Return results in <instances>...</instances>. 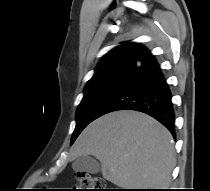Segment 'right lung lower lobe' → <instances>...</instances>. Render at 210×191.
<instances>
[{"instance_id":"98d812e1","label":"right lung lower lobe","mask_w":210,"mask_h":191,"mask_svg":"<svg viewBox=\"0 0 210 191\" xmlns=\"http://www.w3.org/2000/svg\"><path fill=\"white\" fill-rule=\"evenodd\" d=\"M171 98L169 85L156 59L141 46L99 105L95 119L112 111L136 110L158 120L175 137V114Z\"/></svg>"}]
</instances>
